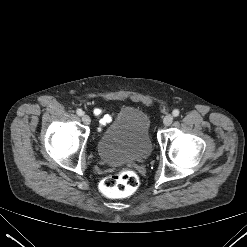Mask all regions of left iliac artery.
I'll list each match as a JSON object with an SVG mask.
<instances>
[{
  "instance_id": "obj_1",
  "label": "left iliac artery",
  "mask_w": 247,
  "mask_h": 247,
  "mask_svg": "<svg viewBox=\"0 0 247 247\" xmlns=\"http://www.w3.org/2000/svg\"><path fill=\"white\" fill-rule=\"evenodd\" d=\"M179 110L178 109H175V110H173V112H172V114H173V116L174 117H177V116H179Z\"/></svg>"
}]
</instances>
